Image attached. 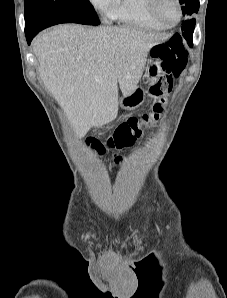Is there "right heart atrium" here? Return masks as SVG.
<instances>
[{"instance_id": "right-heart-atrium-1", "label": "right heart atrium", "mask_w": 227, "mask_h": 298, "mask_svg": "<svg viewBox=\"0 0 227 298\" xmlns=\"http://www.w3.org/2000/svg\"><path fill=\"white\" fill-rule=\"evenodd\" d=\"M89 1L94 7L104 10L109 0H89Z\"/></svg>"}]
</instances>
